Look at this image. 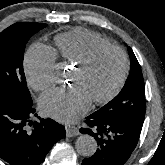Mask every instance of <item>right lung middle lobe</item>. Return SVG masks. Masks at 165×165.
Returning a JSON list of instances; mask_svg holds the SVG:
<instances>
[{"mask_svg": "<svg viewBox=\"0 0 165 165\" xmlns=\"http://www.w3.org/2000/svg\"><path fill=\"white\" fill-rule=\"evenodd\" d=\"M46 26L19 22L0 33V97L32 103L23 70L24 50L29 38Z\"/></svg>", "mask_w": 165, "mask_h": 165, "instance_id": "1", "label": "right lung middle lobe"}]
</instances>
